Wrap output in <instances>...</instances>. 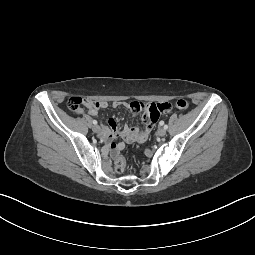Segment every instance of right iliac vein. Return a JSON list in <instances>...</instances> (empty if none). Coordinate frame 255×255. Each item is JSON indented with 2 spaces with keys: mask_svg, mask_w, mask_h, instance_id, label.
Segmentation results:
<instances>
[{
  "mask_svg": "<svg viewBox=\"0 0 255 255\" xmlns=\"http://www.w3.org/2000/svg\"><path fill=\"white\" fill-rule=\"evenodd\" d=\"M92 130L95 132V133H99L101 128L98 126V125H95L93 126Z\"/></svg>",
  "mask_w": 255,
  "mask_h": 255,
  "instance_id": "obj_1",
  "label": "right iliac vein"
}]
</instances>
